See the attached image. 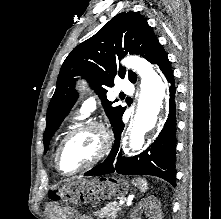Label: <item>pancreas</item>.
<instances>
[{
  "mask_svg": "<svg viewBox=\"0 0 221 219\" xmlns=\"http://www.w3.org/2000/svg\"><path fill=\"white\" fill-rule=\"evenodd\" d=\"M120 211V207L115 202L109 203L105 208L95 211L94 215L98 218H106V219H116L118 216V212Z\"/></svg>",
  "mask_w": 221,
  "mask_h": 219,
  "instance_id": "obj_1",
  "label": "pancreas"
}]
</instances>
